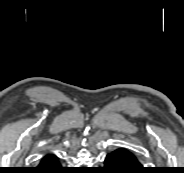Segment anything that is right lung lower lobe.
Returning <instances> with one entry per match:
<instances>
[{
	"instance_id": "right-lung-lower-lobe-1",
	"label": "right lung lower lobe",
	"mask_w": 184,
	"mask_h": 173,
	"mask_svg": "<svg viewBox=\"0 0 184 173\" xmlns=\"http://www.w3.org/2000/svg\"><path fill=\"white\" fill-rule=\"evenodd\" d=\"M34 173H67L68 170L61 166L59 158L51 153L46 154L40 161Z\"/></svg>"
}]
</instances>
